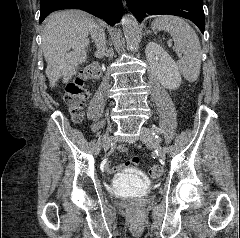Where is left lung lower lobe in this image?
Masks as SVG:
<instances>
[{"label":"left lung lower lobe","mask_w":240,"mask_h":238,"mask_svg":"<svg viewBox=\"0 0 240 238\" xmlns=\"http://www.w3.org/2000/svg\"><path fill=\"white\" fill-rule=\"evenodd\" d=\"M126 2L138 21L147 15H176L191 20L204 33L203 0H126Z\"/></svg>","instance_id":"1"}]
</instances>
